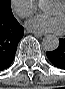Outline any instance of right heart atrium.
Instances as JSON below:
<instances>
[{"mask_svg": "<svg viewBox=\"0 0 65 89\" xmlns=\"http://www.w3.org/2000/svg\"><path fill=\"white\" fill-rule=\"evenodd\" d=\"M11 7L14 13L22 19L31 18L38 9L34 0H12Z\"/></svg>", "mask_w": 65, "mask_h": 89, "instance_id": "1", "label": "right heart atrium"}]
</instances>
